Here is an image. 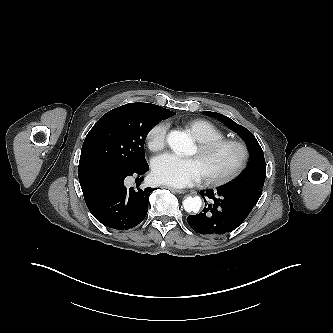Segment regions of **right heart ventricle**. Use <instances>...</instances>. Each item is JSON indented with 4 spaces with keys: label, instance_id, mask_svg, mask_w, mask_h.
Masks as SVG:
<instances>
[{
    "label": "right heart ventricle",
    "instance_id": "right-heart-ventricle-1",
    "mask_svg": "<svg viewBox=\"0 0 333 333\" xmlns=\"http://www.w3.org/2000/svg\"><path fill=\"white\" fill-rule=\"evenodd\" d=\"M186 128L199 142H209L225 137L224 132L214 123L205 119H194L186 123Z\"/></svg>",
    "mask_w": 333,
    "mask_h": 333
}]
</instances>
